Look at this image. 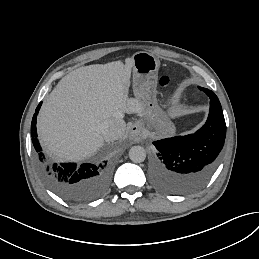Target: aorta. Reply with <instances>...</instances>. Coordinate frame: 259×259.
Listing matches in <instances>:
<instances>
[{
  "instance_id": "aorta-1",
  "label": "aorta",
  "mask_w": 259,
  "mask_h": 259,
  "mask_svg": "<svg viewBox=\"0 0 259 259\" xmlns=\"http://www.w3.org/2000/svg\"><path fill=\"white\" fill-rule=\"evenodd\" d=\"M129 158L134 163H141L146 158V150L142 146H133L129 151Z\"/></svg>"
}]
</instances>
